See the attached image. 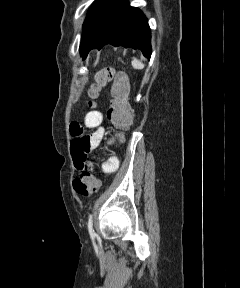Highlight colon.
Returning <instances> with one entry per match:
<instances>
[{"label":"colon","mask_w":240,"mask_h":288,"mask_svg":"<svg viewBox=\"0 0 240 288\" xmlns=\"http://www.w3.org/2000/svg\"><path fill=\"white\" fill-rule=\"evenodd\" d=\"M113 82L110 91L111 103L108 110V119L117 128H126L132 122V111L128 101L129 85L127 76L122 71L105 68L97 73L95 82L89 90V97H97L100 88L107 82ZM92 104V103H90ZM74 190L81 196L88 197L95 193L100 182L92 173V164L88 162L81 174L73 182Z\"/></svg>","instance_id":"5ec220e1"}]
</instances>
